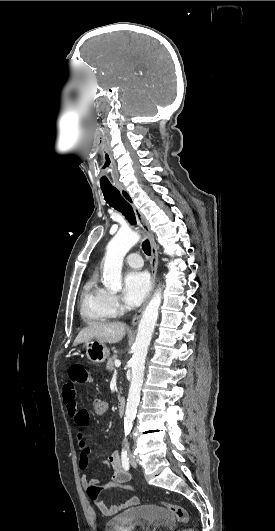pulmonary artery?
Here are the masks:
<instances>
[{"label":"pulmonary artery","instance_id":"e3ab8cb5","mask_svg":"<svg viewBox=\"0 0 275 531\" xmlns=\"http://www.w3.org/2000/svg\"><path fill=\"white\" fill-rule=\"evenodd\" d=\"M125 261L128 265H130V267L133 265H136L138 267L142 265L140 256L137 253H133V252L131 256H127Z\"/></svg>","mask_w":275,"mask_h":531}]
</instances>
